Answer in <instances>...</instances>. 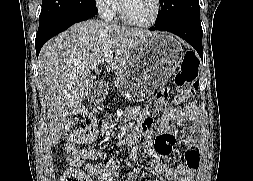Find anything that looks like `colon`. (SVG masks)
<instances>
[{
	"mask_svg": "<svg viewBox=\"0 0 253 181\" xmlns=\"http://www.w3.org/2000/svg\"><path fill=\"white\" fill-rule=\"evenodd\" d=\"M198 65V59L192 53H186L183 64L175 77V86L163 89L158 100L168 99L175 87L182 88V93L186 95L195 91L198 87ZM96 128L95 118L88 111L78 110L67 122L65 135L72 143H86L94 137ZM61 180L87 181V177L71 169L63 174Z\"/></svg>",
	"mask_w": 253,
	"mask_h": 181,
	"instance_id": "1",
	"label": "colon"
}]
</instances>
